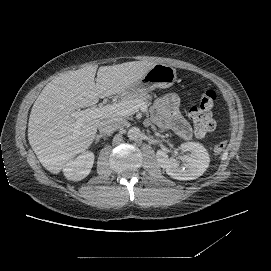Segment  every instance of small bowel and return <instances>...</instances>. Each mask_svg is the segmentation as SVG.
<instances>
[{"mask_svg": "<svg viewBox=\"0 0 271 271\" xmlns=\"http://www.w3.org/2000/svg\"><path fill=\"white\" fill-rule=\"evenodd\" d=\"M156 106L166 123L174 131L184 138L191 136V129L179 111L180 100L178 96L174 94L162 96L157 100Z\"/></svg>", "mask_w": 271, "mask_h": 271, "instance_id": "c3829d8e", "label": "small bowel"}]
</instances>
